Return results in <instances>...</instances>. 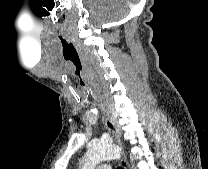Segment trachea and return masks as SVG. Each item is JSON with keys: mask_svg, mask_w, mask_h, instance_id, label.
I'll list each match as a JSON object with an SVG mask.
<instances>
[{"mask_svg": "<svg viewBox=\"0 0 208 169\" xmlns=\"http://www.w3.org/2000/svg\"><path fill=\"white\" fill-rule=\"evenodd\" d=\"M118 169H123L122 167H118Z\"/></svg>", "mask_w": 208, "mask_h": 169, "instance_id": "1", "label": "trachea"}]
</instances>
